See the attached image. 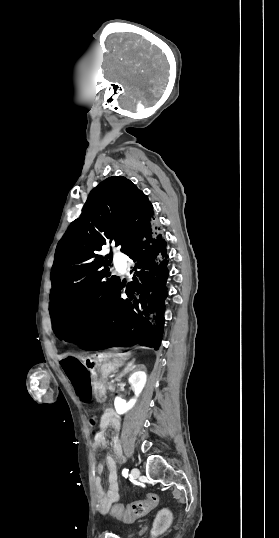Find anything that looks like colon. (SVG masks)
I'll return each instance as SVG.
<instances>
[{
    "label": "colon",
    "instance_id": "obj_1",
    "mask_svg": "<svg viewBox=\"0 0 279 538\" xmlns=\"http://www.w3.org/2000/svg\"><path fill=\"white\" fill-rule=\"evenodd\" d=\"M158 503V495L156 493H149L145 498L134 501L128 505H114L110 512L115 517L125 520L132 521L136 518H140L146 515L152 508H154ZM102 511L107 512V509H102ZM170 521V514L168 512H163L159 516L156 526L159 530L165 528Z\"/></svg>",
    "mask_w": 279,
    "mask_h": 538
}]
</instances>
